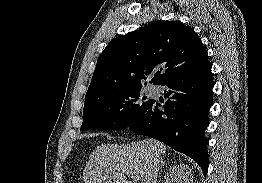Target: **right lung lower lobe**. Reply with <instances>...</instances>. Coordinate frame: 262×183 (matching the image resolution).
<instances>
[{"mask_svg":"<svg viewBox=\"0 0 262 183\" xmlns=\"http://www.w3.org/2000/svg\"><path fill=\"white\" fill-rule=\"evenodd\" d=\"M212 64L173 75L159 85L164 86V103L151 104L128 128L138 134L157 139L196 161L206 175L208 171L209 125L207 113L212 105L214 87ZM162 102V101H161Z\"/></svg>","mask_w":262,"mask_h":183,"instance_id":"right-lung-lower-lobe-1","label":"right lung lower lobe"}]
</instances>
